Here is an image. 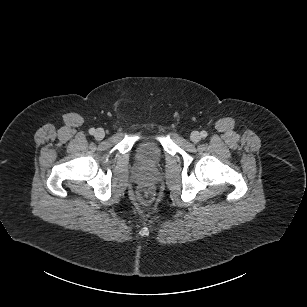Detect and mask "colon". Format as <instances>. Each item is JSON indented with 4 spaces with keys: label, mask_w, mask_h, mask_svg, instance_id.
I'll return each instance as SVG.
<instances>
[{
    "label": "colon",
    "mask_w": 307,
    "mask_h": 307,
    "mask_svg": "<svg viewBox=\"0 0 307 307\" xmlns=\"http://www.w3.org/2000/svg\"><path fill=\"white\" fill-rule=\"evenodd\" d=\"M140 196L145 203H148L152 200V191L150 188H143L140 191Z\"/></svg>",
    "instance_id": "5ec220e1"
}]
</instances>
